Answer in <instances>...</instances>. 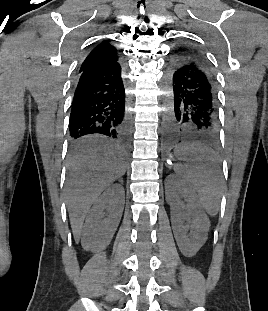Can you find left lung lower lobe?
<instances>
[{"mask_svg":"<svg viewBox=\"0 0 268 311\" xmlns=\"http://www.w3.org/2000/svg\"><path fill=\"white\" fill-rule=\"evenodd\" d=\"M166 81L172 95L166 141H218L216 80L207 59L180 48L168 61Z\"/></svg>","mask_w":268,"mask_h":311,"instance_id":"obj_1","label":"left lung lower lobe"}]
</instances>
